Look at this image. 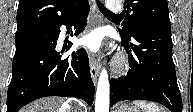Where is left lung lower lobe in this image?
<instances>
[{"instance_id": "left-lung-lower-lobe-1", "label": "left lung lower lobe", "mask_w": 193, "mask_h": 112, "mask_svg": "<svg viewBox=\"0 0 193 112\" xmlns=\"http://www.w3.org/2000/svg\"><path fill=\"white\" fill-rule=\"evenodd\" d=\"M121 38L127 47L130 69L127 75L111 80L110 106L122 100L142 99L158 102L171 112H182L170 24L141 29L130 39L121 34Z\"/></svg>"}]
</instances>
